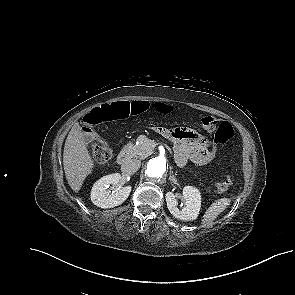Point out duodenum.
Returning <instances> with one entry per match:
<instances>
[{
	"mask_svg": "<svg viewBox=\"0 0 295 295\" xmlns=\"http://www.w3.org/2000/svg\"><path fill=\"white\" fill-rule=\"evenodd\" d=\"M131 153L128 146H125L117 156L118 164H124L130 159Z\"/></svg>",
	"mask_w": 295,
	"mask_h": 295,
	"instance_id": "1",
	"label": "duodenum"
}]
</instances>
